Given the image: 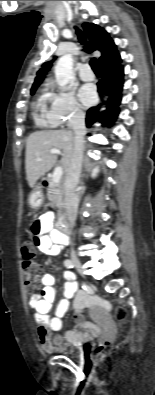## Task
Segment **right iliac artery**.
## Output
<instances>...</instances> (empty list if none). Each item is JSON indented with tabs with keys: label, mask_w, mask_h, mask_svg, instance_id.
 Wrapping results in <instances>:
<instances>
[{
	"label": "right iliac artery",
	"mask_w": 155,
	"mask_h": 395,
	"mask_svg": "<svg viewBox=\"0 0 155 395\" xmlns=\"http://www.w3.org/2000/svg\"><path fill=\"white\" fill-rule=\"evenodd\" d=\"M64 266H65L66 268H69V269H72V268L74 267L72 261L69 260V259H67V260L64 261Z\"/></svg>",
	"instance_id": "1"
}]
</instances>
